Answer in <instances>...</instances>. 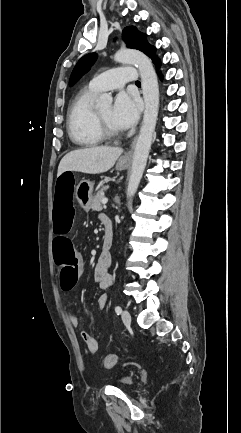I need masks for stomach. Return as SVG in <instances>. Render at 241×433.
Wrapping results in <instances>:
<instances>
[{
  "mask_svg": "<svg viewBox=\"0 0 241 433\" xmlns=\"http://www.w3.org/2000/svg\"><path fill=\"white\" fill-rule=\"evenodd\" d=\"M129 166V163L127 161H124L123 159H119V161L116 164L117 170H125ZM93 183L90 181L82 180L80 183L74 186V194L73 197L79 204V206L84 209L88 210L92 201H93Z\"/></svg>",
  "mask_w": 241,
  "mask_h": 433,
  "instance_id": "0dacf381",
  "label": "stomach"
}]
</instances>
